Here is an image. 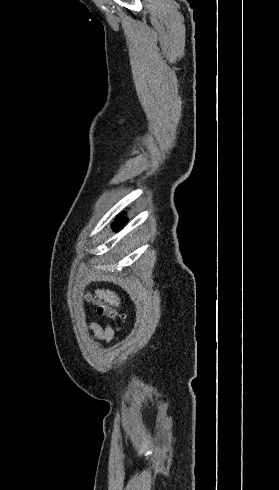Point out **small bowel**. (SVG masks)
Wrapping results in <instances>:
<instances>
[{"instance_id": "small-bowel-1", "label": "small bowel", "mask_w": 279, "mask_h": 490, "mask_svg": "<svg viewBox=\"0 0 279 490\" xmlns=\"http://www.w3.org/2000/svg\"><path fill=\"white\" fill-rule=\"evenodd\" d=\"M89 328L95 334L96 338L103 343L110 342L114 337V331L110 325L102 326L96 322H90Z\"/></svg>"}]
</instances>
